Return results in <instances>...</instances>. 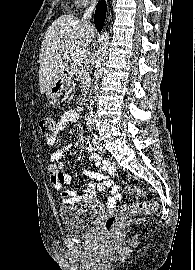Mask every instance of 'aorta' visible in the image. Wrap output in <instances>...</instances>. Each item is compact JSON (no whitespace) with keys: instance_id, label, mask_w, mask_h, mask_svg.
<instances>
[{"instance_id":"762f6f07","label":"aorta","mask_w":195,"mask_h":270,"mask_svg":"<svg viewBox=\"0 0 195 270\" xmlns=\"http://www.w3.org/2000/svg\"><path fill=\"white\" fill-rule=\"evenodd\" d=\"M109 40H110L109 33L107 31H104L100 38L99 55L95 63L93 97L90 99V104H89L91 108V111L89 113L90 116H92V105L94 104V101L96 99L95 96H96L98 81L102 76L104 64L107 59Z\"/></svg>"}]
</instances>
